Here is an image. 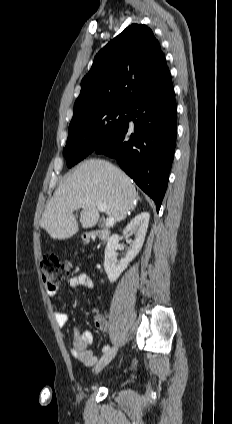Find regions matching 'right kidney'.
I'll return each instance as SVG.
<instances>
[{"instance_id":"obj_1","label":"right kidney","mask_w":232,"mask_h":424,"mask_svg":"<svg viewBox=\"0 0 232 424\" xmlns=\"http://www.w3.org/2000/svg\"><path fill=\"white\" fill-rule=\"evenodd\" d=\"M150 214L148 212H142L135 216L131 222L125 227L123 234L125 236L134 235L135 239L132 241L131 248L126 254V257L117 261L116 250L120 237L118 235H113L110 237L106 249H105V259H104V269L108 276V279L111 283L115 282L121 273L127 268L128 264L137 256L140 252L148 224H149Z\"/></svg>"}]
</instances>
